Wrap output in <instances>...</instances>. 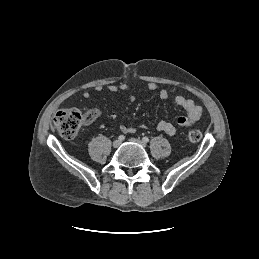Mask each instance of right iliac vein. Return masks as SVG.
<instances>
[{"instance_id":"63e3f726","label":"right iliac vein","mask_w":259,"mask_h":259,"mask_svg":"<svg viewBox=\"0 0 259 259\" xmlns=\"http://www.w3.org/2000/svg\"><path fill=\"white\" fill-rule=\"evenodd\" d=\"M120 144H121V141H120V140H115V141L113 142V147H114V148H117V147L120 146Z\"/></svg>"}]
</instances>
